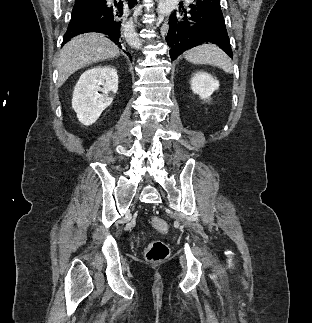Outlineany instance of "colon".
Returning a JSON list of instances; mask_svg holds the SVG:
<instances>
[{"mask_svg": "<svg viewBox=\"0 0 312 323\" xmlns=\"http://www.w3.org/2000/svg\"><path fill=\"white\" fill-rule=\"evenodd\" d=\"M153 228L158 232H166L168 230L167 224L160 217H154L151 220ZM169 254L168 246L161 241L151 242L145 252V257L148 262L159 263L163 262Z\"/></svg>", "mask_w": 312, "mask_h": 323, "instance_id": "obj_1", "label": "colon"}]
</instances>
